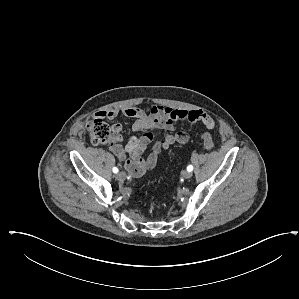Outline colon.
<instances>
[{"label":"colon","instance_id":"colon-1","mask_svg":"<svg viewBox=\"0 0 299 299\" xmlns=\"http://www.w3.org/2000/svg\"><path fill=\"white\" fill-rule=\"evenodd\" d=\"M87 130L90 139L95 145H106L112 142L113 135L110 125L105 122L102 118H95L87 124ZM204 148L212 150L214 142L211 134L205 132L201 135Z\"/></svg>","mask_w":299,"mask_h":299}]
</instances>
